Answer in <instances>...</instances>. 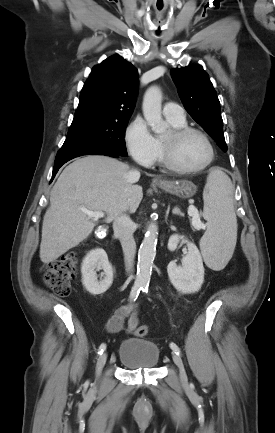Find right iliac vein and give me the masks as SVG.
I'll return each mask as SVG.
<instances>
[{"mask_svg": "<svg viewBox=\"0 0 275 433\" xmlns=\"http://www.w3.org/2000/svg\"><path fill=\"white\" fill-rule=\"evenodd\" d=\"M106 360H107V354L104 352L99 356L97 364H96V376H97V378L100 376L102 369L106 363Z\"/></svg>", "mask_w": 275, "mask_h": 433, "instance_id": "1", "label": "right iliac vein"}]
</instances>
